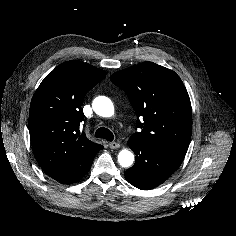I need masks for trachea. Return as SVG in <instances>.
<instances>
[{
	"instance_id": "3493384b",
	"label": "trachea",
	"mask_w": 236,
	"mask_h": 236,
	"mask_svg": "<svg viewBox=\"0 0 236 236\" xmlns=\"http://www.w3.org/2000/svg\"><path fill=\"white\" fill-rule=\"evenodd\" d=\"M95 137L96 138H103V139H106L107 141H113V139H114L113 133L105 127H101L99 129H97L95 132Z\"/></svg>"
}]
</instances>
